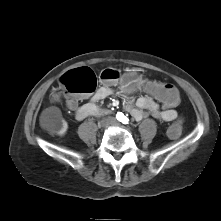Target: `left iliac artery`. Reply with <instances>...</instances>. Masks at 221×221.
Instances as JSON below:
<instances>
[{"label": "left iliac artery", "instance_id": "44dca946", "mask_svg": "<svg viewBox=\"0 0 221 221\" xmlns=\"http://www.w3.org/2000/svg\"><path fill=\"white\" fill-rule=\"evenodd\" d=\"M120 120L123 124H128L129 123V119L126 116H123Z\"/></svg>", "mask_w": 221, "mask_h": 221}]
</instances>
